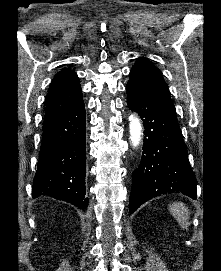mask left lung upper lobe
Wrapping results in <instances>:
<instances>
[{
    "mask_svg": "<svg viewBox=\"0 0 221 271\" xmlns=\"http://www.w3.org/2000/svg\"><path fill=\"white\" fill-rule=\"evenodd\" d=\"M128 83L139 87L152 100L176 113L161 71L148 59L138 58L130 71Z\"/></svg>",
    "mask_w": 221,
    "mask_h": 271,
    "instance_id": "left-lung-upper-lobe-1",
    "label": "left lung upper lobe"
}]
</instances>
